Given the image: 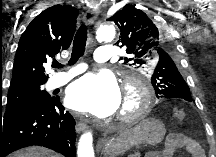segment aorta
I'll return each mask as SVG.
<instances>
[{
    "label": "aorta",
    "mask_w": 216,
    "mask_h": 157,
    "mask_svg": "<svg viewBox=\"0 0 216 157\" xmlns=\"http://www.w3.org/2000/svg\"><path fill=\"white\" fill-rule=\"evenodd\" d=\"M115 26L113 24L101 25L97 32L96 38L99 42H110L115 37ZM93 138L90 132L84 133L78 143L77 155L78 157H94ZM118 152L105 154L106 156H115Z\"/></svg>",
    "instance_id": "762f6f07"
}]
</instances>
